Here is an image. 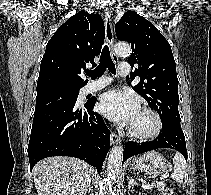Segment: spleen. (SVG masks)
<instances>
[{
	"label": "spleen",
	"mask_w": 211,
	"mask_h": 195,
	"mask_svg": "<svg viewBox=\"0 0 211 195\" xmlns=\"http://www.w3.org/2000/svg\"><path fill=\"white\" fill-rule=\"evenodd\" d=\"M173 163H174V171L171 177L173 180L181 183L183 181L185 174L186 161L182 156V154L177 152L173 158Z\"/></svg>",
	"instance_id": "1"
}]
</instances>
